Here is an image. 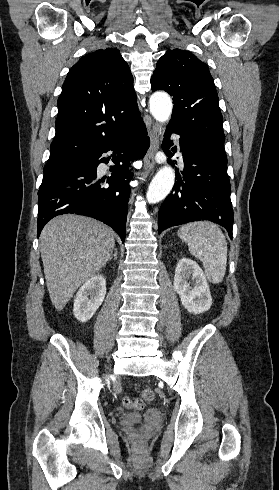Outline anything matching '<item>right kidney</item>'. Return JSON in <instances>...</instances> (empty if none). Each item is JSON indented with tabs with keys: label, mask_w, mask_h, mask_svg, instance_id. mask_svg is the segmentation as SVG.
Wrapping results in <instances>:
<instances>
[{
	"label": "right kidney",
	"mask_w": 279,
	"mask_h": 490,
	"mask_svg": "<svg viewBox=\"0 0 279 490\" xmlns=\"http://www.w3.org/2000/svg\"><path fill=\"white\" fill-rule=\"evenodd\" d=\"M106 296V280L102 274H94L79 288L74 300L73 314L79 322H87L94 316Z\"/></svg>",
	"instance_id": "ca27d5eb"
}]
</instances>
